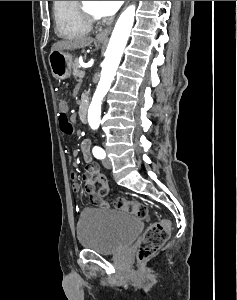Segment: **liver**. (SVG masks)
Returning <instances> with one entry per match:
<instances>
[{"instance_id":"1","label":"liver","mask_w":237,"mask_h":300,"mask_svg":"<svg viewBox=\"0 0 237 300\" xmlns=\"http://www.w3.org/2000/svg\"><path fill=\"white\" fill-rule=\"evenodd\" d=\"M94 39L92 37H82L78 41H58L54 43L51 47L52 51H72V49H84V47H89L90 43H93Z\"/></svg>"}]
</instances>
